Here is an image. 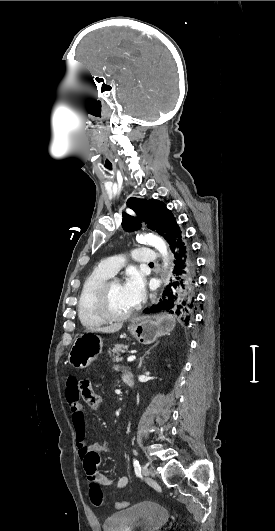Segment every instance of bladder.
I'll return each mask as SVG.
<instances>
[{
	"label": "bladder",
	"mask_w": 275,
	"mask_h": 531,
	"mask_svg": "<svg viewBox=\"0 0 275 531\" xmlns=\"http://www.w3.org/2000/svg\"><path fill=\"white\" fill-rule=\"evenodd\" d=\"M170 513L161 503L140 501L130 508L114 512L103 520L104 531H159Z\"/></svg>",
	"instance_id": "obj_1"
}]
</instances>
